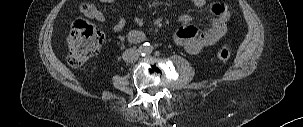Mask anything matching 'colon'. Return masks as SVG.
Instances as JSON below:
<instances>
[{
  "label": "colon",
  "mask_w": 303,
  "mask_h": 127,
  "mask_svg": "<svg viewBox=\"0 0 303 127\" xmlns=\"http://www.w3.org/2000/svg\"><path fill=\"white\" fill-rule=\"evenodd\" d=\"M91 9L89 3H83L80 6L82 12H89ZM102 32L91 22L83 17L77 18L71 28L68 36V63L72 67H78L95 56L103 42ZM219 60L228 58V51L221 48L217 51Z\"/></svg>",
  "instance_id": "obj_1"
}]
</instances>
